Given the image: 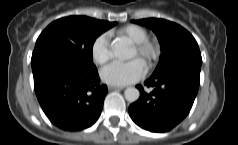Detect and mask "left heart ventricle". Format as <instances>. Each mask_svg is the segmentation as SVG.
<instances>
[{"label":"left heart ventricle","mask_w":238,"mask_h":145,"mask_svg":"<svg viewBox=\"0 0 238 145\" xmlns=\"http://www.w3.org/2000/svg\"><path fill=\"white\" fill-rule=\"evenodd\" d=\"M129 58H138L137 55H136V52H135V50L133 48L130 51Z\"/></svg>","instance_id":"1"}]
</instances>
